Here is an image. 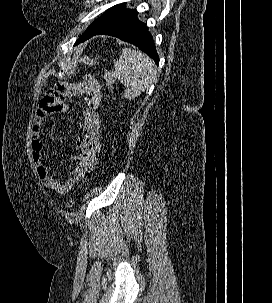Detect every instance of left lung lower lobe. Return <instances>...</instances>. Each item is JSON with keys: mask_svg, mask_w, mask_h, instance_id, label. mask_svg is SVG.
I'll return each mask as SVG.
<instances>
[{"mask_svg": "<svg viewBox=\"0 0 272 303\" xmlns=\"http://www.w3.org/2000/svg\"><path fill=\"white\" fill-rule=\"evenodd\" d=\"M99 34L115 36L131 43L148 54L156 64L159 63V56L152 35L148 32L145 24L138 20L136 10L126 9L104 19L89 31L83 33L76 44Z\"/></svg>", "mask_w": 272, "mask_h": 303, "instance_id": "obj_1", "label": "left lung lower lobe"}]
</instances>
